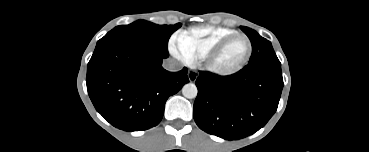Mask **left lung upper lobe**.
<instances>
[{
	"instance_id": "1",
	"label": "left lung upper lobe",
	"mask_w": 369,
	"mask_h": 152,
	"mask_svg": "<svg viewBox=\"0 0 369 152\" xmlns=\"http://www.w3.org/2000/svg\"><path fill=\"white\" fill-rule=\"evenodd\" d=\"M240 28L249 37L253 48L251 58L245 66L246 68L260 65H281L270 41L261 37L253 29L244 26Z\"/></svg>"
}]
</instances>
